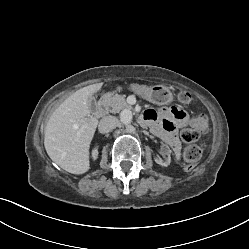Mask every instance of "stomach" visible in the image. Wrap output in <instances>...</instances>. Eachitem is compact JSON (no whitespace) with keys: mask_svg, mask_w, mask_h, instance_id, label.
I'll use <instances>...</instances> for the list:
<instances>
[{"mask_svg":"<svg viewBox=\"0 0 249 249\" xmlns=\"http://www.w3.org/2000/svg\"><path fill=\"white\" fill-rule=\"evenodd\" d=\"M130 90L147 101L157 105H164L173 100V94L169 88L160 84L153 86L131 84Z\"/></svg>","mask_w":249,"mask_h":249,"instance_id":"0dacf381","label":"stomach"}]
</instances>
